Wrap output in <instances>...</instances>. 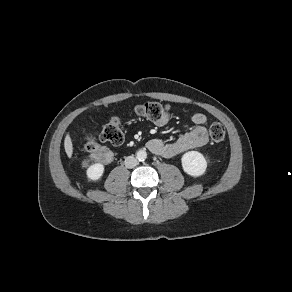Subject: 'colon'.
<instances>
[{
	"label": "colon",
	"instance_id": "obj_1",
	"mask_svg": "<svg viewBox=\"0 0 292 292\" xmlns=\"http://www.w3.org/2000/svg\"><path fill=\"white\" fill-rule=\"evenodd\" d=\"M135 114L142 119L150 121H160L169 117V107L159 102H147L136 106ZM210 137L214 142H221L225 138V128L221 123L211 124L209 129ZM124 141V132L121 122L118 118H111L103 127L98 135H88L85 139V150L91 154H98L100 151V142H109L119 145ZM100 162L107 163L112 159V153L109 150H103L96 156Z\"/></svg>",
	"mask_w": 292,
	"mask_h": 292
}]
</instances>
